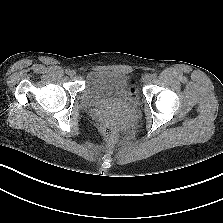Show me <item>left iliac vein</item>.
Listing matches in <instances>:
<instances>
[{
  "mask_svg": "<svg viewBox=\"0 0 223 223\" xmlns=\"http://www.w3.org/2000/svg\"><path fill=\"white\" fill-rule=\"evenodd\" d=\"M151 80H152V76L150 74H147L143 78V83L147 85L151 82Z\"/></svg>",
  "mask_w": 223,
  "mask_h": 223,
  "instance_id": "obj_1",
  "label": "left iliac vein"
}]
</instances>
